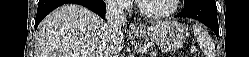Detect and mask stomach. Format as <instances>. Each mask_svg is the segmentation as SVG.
<instances>
[{
	"label": "stomach",
	"instance_id": "stomach-1",
	"mask_svg": "<svg viewBox=\"0 0 249 57\" xmlns=\"http://www.w3.org/2000/svg\"><path fill=\"white\" fill-rule=\"evenodd\" d=\"M185 27L178 21H158L148 28H142L133 34L146 41H153L168 50H176L185 43Z\"/></svg>",
	"mask_w": 249,
	"mask_h": 57
}]
</instances>
